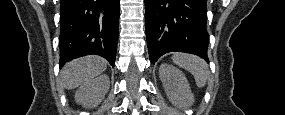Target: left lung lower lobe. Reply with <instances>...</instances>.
<instances>
[{"label": "left lung lower lobe", "mask_w": 285, "mask_h": 115, "mask_svg": "<svg viewBox=\"0 0 285 115\" xmlns=\"http://www.w3.org/2000/svg\"><path fill=\"white\" fill-rule=\"evenodd\" d=\"M207 0H145L150 62L172 51L196 54L208 61Z\"/></svg>", "instance_id": "0a47b994"}]
</instances>
